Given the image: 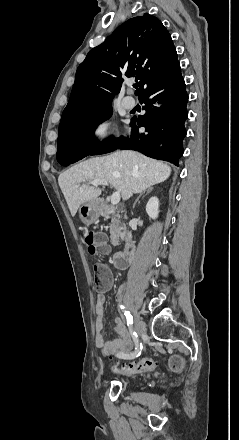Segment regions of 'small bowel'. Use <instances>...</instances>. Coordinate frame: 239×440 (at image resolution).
Wrapping results in <instances>:
<instances>
[{"label": "small bowel", "instance_id": "small-bowel-1", "mask_svg": "<svg viewBox=\"0 0 239 440\" xmlns=\"http://www.w3.org/2000/svg\"><path fill=\"white\" fill-rule=\"evenodd\" d=\"M106 267V266H105ZM109 281L104 287V290L96 295L95 311L97 314L95 327H96V337L95 342L97 347L101 350L104 355H118L120 353H126L132 347V340L127 330L123 320L120 317L115 318V333L117 337L114 340H106L103 334L104 329V304L105 295L104 291L109 287L111 272L106 267ZM123 294V288L118 290V296L121 297Z\"/></svg>", "mask_w": 239, "mask_h": 440}]
</instances>
